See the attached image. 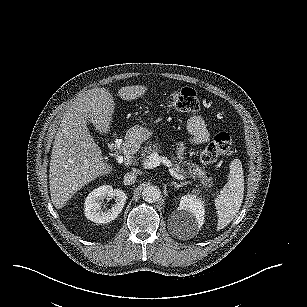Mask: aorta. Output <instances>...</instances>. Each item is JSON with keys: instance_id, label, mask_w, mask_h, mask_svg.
Listing matches in <instances>:
<instances>
[{"instance_id": "obj_1", "label": "aorta", "mask_w": 307, "mask_h": 307, "mask_svg": "<svg viewBox=\"0 0 307 307\" xmlns=\"http://www.w3.org/2000/svg\"><path fill=\"white\" fill-rule=\"evenodd\" d=\"M142 198L148 203H154L158 201L161 196V190L154 185H146L142 190Z\"/></svg>"}]
</instances>
